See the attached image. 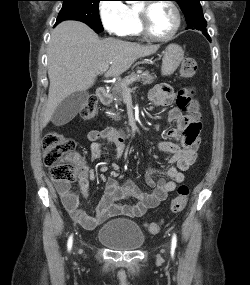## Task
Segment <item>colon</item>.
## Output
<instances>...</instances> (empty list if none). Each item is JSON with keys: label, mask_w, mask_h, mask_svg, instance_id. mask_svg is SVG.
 <instances>
[{"label": "colon", "mask_w": 250, "mask_h": 285, "mask_svg": "<svg viewBox=\"0 0 250 285\" xmlns=\"http://www.w3.org/2000/svg\"><path fill=\"white\" fill-rule=\"evenodd\" d=\"M197 72V62L194 58H185L179 68L182 78L189 79ZM182 94L185 114L197 122L200 117L199 106L193 99L194 90L187 89ZM97 113L94 99L89 98L82 106L80 115L84 119H91ZM44 163L50 170L51 178L56 182L70 183L76 177V158L74 153L75 144L73 140L57 132H49L44 137ZM189 188L182 185L178 188V194L171 200L170 210L173 213L181 212L187 203ZM146 229L150 234H157L161 230L160 222H149Z\"/></svg>", "instance_id": "colon-1"}]
</instances>
